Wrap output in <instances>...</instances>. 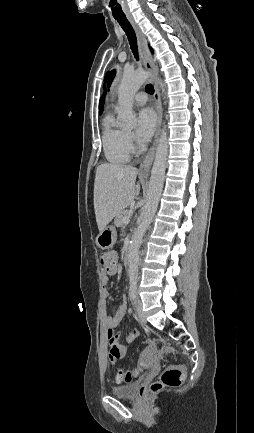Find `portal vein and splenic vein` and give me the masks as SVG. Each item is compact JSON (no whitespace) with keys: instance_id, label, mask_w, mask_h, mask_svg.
<instances>
[{"instance_id":"18ae733b","label":"portal vein and splenic vein","mask_w":254,"mask_h":433,"mask_svg":"<svg viewBox=\"0 0 254 433\" xmlns=\"http://www.w3.org/2000/svg\"><path fill=\"white\" fill-rule=\"evenodd\" d=\"M123 223L124 224H128L129 223V221H130V215H128V216H125L124 218H123Z\"/></svg>"}]
</instances>
